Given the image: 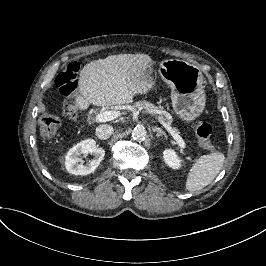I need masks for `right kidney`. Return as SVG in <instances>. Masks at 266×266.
<instances>
[{"mask_svg":"<svg viewBox=\"0 0 266 266\" xmlns=\"http://www.w3.org/2000/svg\"><path fill=\"white\" fill-rule=\"evenodd\" d=\"M92 154L94 158L84 164L81 156ZM67 155L73 160L74 175H87L99 166L103 160L105 151L103 148L97 147L94 139H86L69 149Z\"/></svg>","mask_w":266,"mask_h":266,"instance_id":"obj_1","label":"right kidney"}]
</instances>
